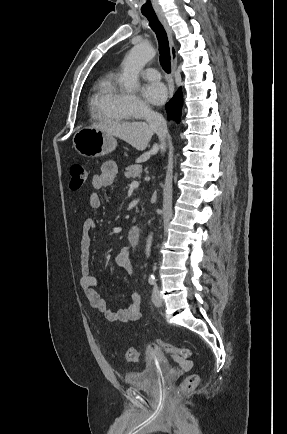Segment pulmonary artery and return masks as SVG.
Segmentation results:
<instances>
[{"label":"pulmonary artery","mask_w":287,"mask_h":434,"mask_svg":"<svg viewBox=\"0 0 287 434\" xmlns=\"http://www.w3.org/2000/svg\"><path fill=\"white\" fill-rule=\"evenodd\" d=\"M142 77L148 80H158L160 79L159 72L154 68H146L141 72Z\"/></svg>","instance_id":"obj_1"}]
</instances>
